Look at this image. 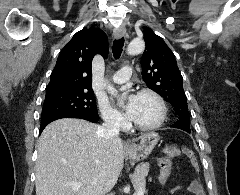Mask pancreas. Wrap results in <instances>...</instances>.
<instances>
[{"label": "pancreas", "mask_w": 240, "mask_h": 195, "mask_svg": "<svg viewBox=\"0 0 240 195\" xmlns=\"http://www.w3.org/2000/svg\"><path fill=\"white\" fill-rule=\"evenodd\" d=\"M149 163L148 161H142L135 167V173L131 177L134 189L136 191H145L146 175H148Z\"/></svg>", "instance_id": "1"}]
</instances>
